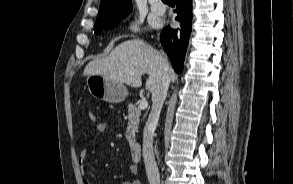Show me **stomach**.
<instances>
[{"label":"stomach","instance_id":"obj_1","mask_svg":"<svg viewBox=\"0 0 293 184\" xmlns=\"http://www.w3.org/2000/svg\"><path fill=\"white\" fill-rule=\"evenodd\" d=\"M86 84L94 98L109 103H120L128 95L127 88L122 82L102 75H88Z\"/></svg>","mask_w":293,"mask_h":184}]
</instances>
